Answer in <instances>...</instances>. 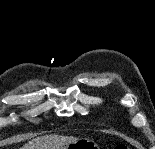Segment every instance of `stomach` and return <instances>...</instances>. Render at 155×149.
I'll return each mask as SVG.
<instances>
[{
  "mask_svg": "<svg viewBox=\"0 0 155 149\" xmlns=\"http://www.w3.org/2000/svg\"><path fill=\"white\" fill-rule=\"evenodd\" d=\"M98 149L97 145L89 139H78L76 142H72L64 145L61 149Z\"/></svg>",
  "mask_w": 155,
  "mask_h": 149,
  "instance_id": "stomach-1",
  "label": "stomach"
}]
</instances>
